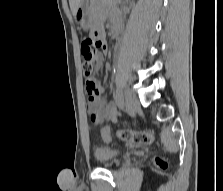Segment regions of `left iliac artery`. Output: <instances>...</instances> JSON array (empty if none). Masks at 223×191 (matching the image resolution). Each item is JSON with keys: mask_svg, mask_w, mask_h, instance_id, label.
Returning a JSON list of instances; mask_svg holds the SVG:
<instances>
[{"mask_svg": "<svg viewBox=\"0 0 223 191\" xmlns=\"http://www.w3.org/2000/svg\"><path fill=\"white\" fill-rule=\"evenodd\" d=\"M117 103L119 105L120 108L123 107V102H122V92L120 90L117 91Z\"/></svg>", "mask_w": 223, "mask_h": 191, "instance_id": "1", "label": "left iliac artery"}]
</instances>
